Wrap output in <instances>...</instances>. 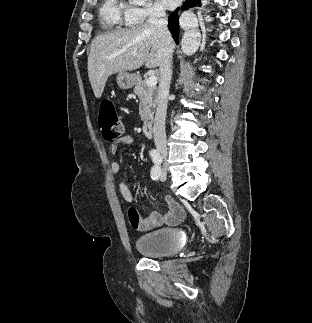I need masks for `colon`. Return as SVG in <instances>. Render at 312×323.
<instances>
[{"label": "colon", "instance_id": "obj_1", "mask_svg": "<svg viewBox=\"0 0 312 323\" xmlns=\"http://www.w3.org/2000/svg\"><path fill=\"white\" fill-rule=\"evenodd\" d=\"M99 129L107 140L118 139L124 135L123 123L116 113L113 102L109 99L100 104Z\"/></svg>", "mask_w": 312, "mask_h": 323}]
</instances>
